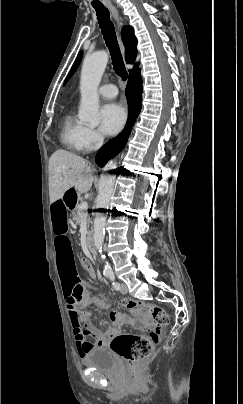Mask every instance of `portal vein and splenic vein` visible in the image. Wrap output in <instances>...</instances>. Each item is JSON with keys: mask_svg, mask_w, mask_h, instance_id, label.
I'll list each match as a JSON object with an SVG mask.
<instances>
[{"mask_svg": "<svg viewBox=\"0 0 243 404\" xmlns=\"http://www.w3.org/2000/svg\"><path fill=\"white\" fill-rule=\"evenodd\" d=\"M86 210H88V204L87 202H83L81 206V210L78 212L79 216H83L84 218L88 217V214L86 213Z\"/></svg>", "mask_w": 243, "mask_h": 404, "instance_id": "obj_1", "label": "portal vein and splenic vein"}]
</instances>
